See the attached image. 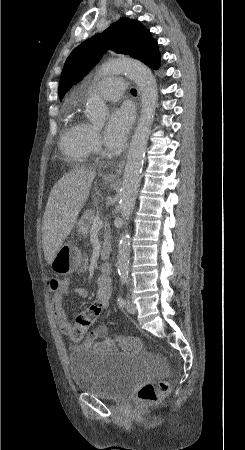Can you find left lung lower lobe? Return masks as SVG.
<instances>
[{"mask_svg": "<svg viewBox=\"0 0 245 450\" xmlns=\"http://www.w3.org/2000/svg\"><path fill=\"white\" fill-rule=\"evenodd\" d=\"M158 66H159V64L156 66V67H154L153 69H157L158 68Z\"/></svg>", "mask_w": 245, "mask_h": 450, "instance_id": "0a47b994", "label": "left lung lower lobe"}]
</instances>
